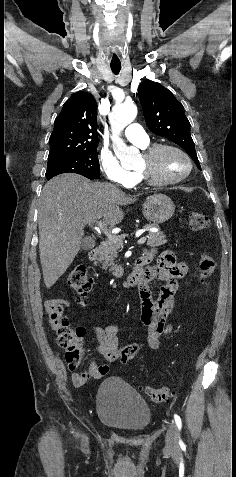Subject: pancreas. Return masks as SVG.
<instances>
[{"label":"pancreas","instance_id":"1","mask_svg":"<svg viewBox=\"0 0 236 477\" xmlns=\"http://www.w3.org/2000/svg\"><path fill=\"white\" fill-rule=\"evenodd\" d=\"M125 236V234L119 236L121 242L125 238ZM165 237L166 236L162 232H149V234L147 235V245L150 247L164 245L167 242ZM122 247L123 243H115L109 239L102 242L99 247V257L97 260L102 263L104 269H107L109 267V271H111L113 276L115 277L123 276V268L121 266L116 265L114 262V259L118 255V251Z\"/></svg>","mask_w":236,"mask_h":477}]
</instances>
